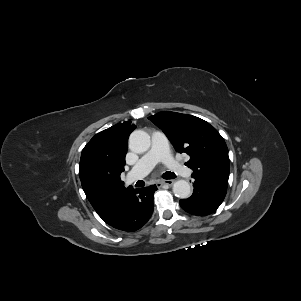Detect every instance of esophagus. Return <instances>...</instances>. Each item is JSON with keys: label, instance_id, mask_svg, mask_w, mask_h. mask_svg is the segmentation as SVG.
<instances>
[{"label": "esophagus", "instance_id": "obj_1", "mask_svg": "<svg viewBox=\"0 0 301 301\" xmlns=\"http://www.w3.org/2000/svg\"><path fill=\"white\" fill-rule=\"evenodd\" d=\"M173 183H174V180L168 179V180H161V181L157 182V185L158 186H162V185L172 186Z\"/></svg>", "mask_w": 301, "mask_h": 301}]
</instances>
